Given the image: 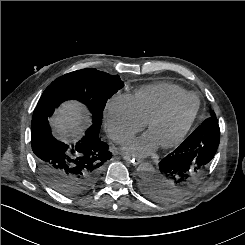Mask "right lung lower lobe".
I'll return each mask as SVG.
<instances>
[{
    "instance_id": "right-lung-lower-lobe-1",
    "label": "right lung lower lobe",
    "mask_w": 245,
    "mask_h": 245,
    "mask_svg": "<svg viewBox=\"0 0 245 245\" xmlns=\"http://www.w3.org/2000/svg\"><path fill=\"white\" fill-rule=\"evenodd\" d=\"M54 109L48 104L35 108L31 124L32 150L44 180L62 195L76 196L96 183L102 165L112 155L99 133L86 131L74 144L55 139L48 122Z\"/></svg>"
}]
</instances>
